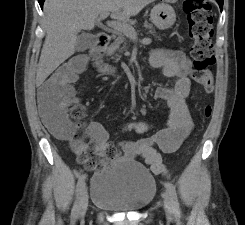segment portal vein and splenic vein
<instances>
[{"instance_id": "portal-vein-and-splenic-vein-1", "label": "portal vein and splenic vein", "mask_w": 245, "mask_h": 225, "mask_svg": "<svg viewBox=\"0 0 245 225\" xmlns=\"http://www.w3.org/2000/svg\"><path fill=\"white\" fill-rule=\"evenodd\" d=\"M109 15V12H104L102 14H100L99 19H105L107 18ZM108 25L113 28L114 30H117L121 33H123L125 36H127L128 38H130L133 41L137 40V33L134 29V27H132L131 25L127 24V23H122L120 21H110L108 23ZM151 39L149 38H144L142 40V43H150Z\"/></svg>"}]
</instances>
